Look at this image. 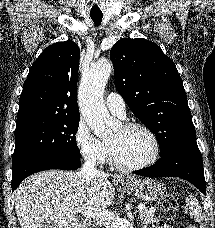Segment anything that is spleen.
Returning <instances> with one entry per match:
<instances>
[{
  "label": "spleen",
  "mask_w": 215,
  "mask_h": 228,
  "mask_svg": "<svg viewBox=\"0 0 215 228\" xmlns=\"http://www.w3.org/2000/svg\"><path fill=\"white\" fill-rule=\"evenodd\" d=\"M186 204L189 206L191 210V216H193V218H201L200 206H198L197 200H195L193 196L186 198Z\"/></svg>",
  "instance_id": "3e777b00"
}]
</instances>
